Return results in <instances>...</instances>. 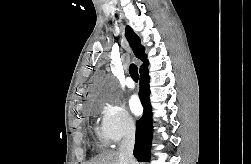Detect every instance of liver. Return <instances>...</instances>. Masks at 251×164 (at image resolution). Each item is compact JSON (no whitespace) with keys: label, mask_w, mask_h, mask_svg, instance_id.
<instances>
[{"label":"liver","mask_w":251,"mask_h":164,"mask_svg":"<svg viewBox=\"0 0 251 164\" xmlns=\"http://www.w3.org/2000/svg\"><path fill=\"white\" fill-rule=\"evenodd\" d=\"M88 164H122V162L118 151H107L98 155Z\"/></svg>","instance_id":"liver-1"}]
</instances>
